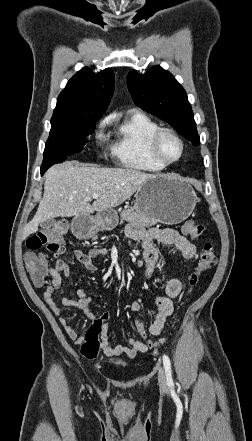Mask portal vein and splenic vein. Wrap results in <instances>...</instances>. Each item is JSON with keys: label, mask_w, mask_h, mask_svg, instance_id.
Wrapping results in <instances>:
<instances>
[{"label": "portal vein and splenic vein", "mask_w": 252, "mask_h": 441, "mask_svg": "<svg viewBox=\"0 0 252 441\" xmlns=\"http://www.w3.org/2000/svg\"><path fill=\"white\" fill-rule=\"evenodd\" d=\"M92 197H93L94 199H97V198H99V194L94 193V194L92 195Z\"/></svg>", "instance_id": "portal-vein-and-splenic-vein-1"}]
</instances>
